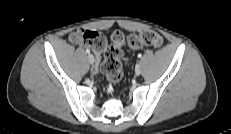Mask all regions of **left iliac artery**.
<instances>
[{
    "label": "left iliac artery",
    "instance_id": "44dca946",
    "mask_svg": "<svg viewBox=\"0 0 231 134\" xmlns=\"http://www.w3.org/2000/svg\"><path fill=\"white\" fill-rule=\"evenodd\" d=\"M142 57V54H138V58H141Z\"/></svg>",
    "mask_w": 231,
    "mask_h": 134
}]
</instances>
